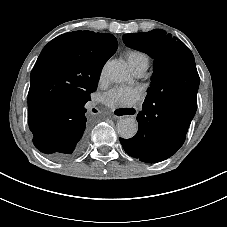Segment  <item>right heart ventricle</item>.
<instances>
[{
    "mask_svg": "<svg viewBox=\"0 0 227 227\" xmlns=\"http://www.w3.org/2000/svg\"><path fill=\"white\" fill-rule=\"evenodd\" d=\"M124 55L131 71L134 68L147 69L149 65V56L144 51L138 49H127L125 50Z\"/></svg>",
    "mask_w": 227,
    "mask_h": 227,
    "instance_id": "e07e8e85",
    "label": "right heart ventricle"
}]
</instances>
